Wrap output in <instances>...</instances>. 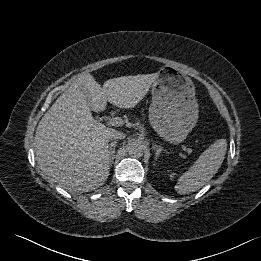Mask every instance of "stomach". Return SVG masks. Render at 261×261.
<instances>
[{"mask_svg":"<svg viewBox=\"0 0 261 261\" xmlns=\"http://www.w3.org/2000/svg\"><path fill=\"white\" fill-rule=\"evenodd\" d=\"M149 121L160 137L171 143L184 141L198 120L195 86L187 75L164 66L152 84Z\"/></svg>","mask_w":261,"mask_h":261,"instance_id":"obj_1","label":"stomach"}]
</instances>
